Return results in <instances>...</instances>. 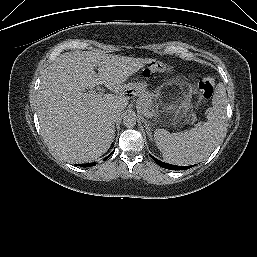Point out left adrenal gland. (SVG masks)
<instances>
[{
	"mask_svg": "<svg viewBox=\"0 0 257 257\" xmlns=\"http://www.w3.org/2000/svg\"><path fill=\"white\" fill-rule=\"evenodd\" d=\"M144 123H145L146 129H147V134L151 138V132H150V128H149L150 123L147 120H145Z\"/></svg>",
	"mask_w": 257,
	"mask_h": 257,
	"instance_id": "1",
	"label": "left adrenal gland"
}]
</instances>
